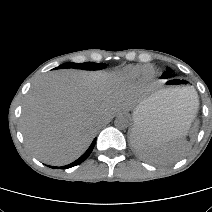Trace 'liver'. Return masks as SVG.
Segmentation results:
<instances>
[{"instance_id":"liver-1","label":"liver","mask_w":212,"mask_h":212,"mask_svg":"<svg viewBox=\"0 0 212 212\" xmlns=\"http://www.w3.org/2000/svg\"><path fill=\"white\" fill-rule=\"evenodd\" d=\"M173 100V120L186 132L189 118ZM136 104L135 90L109 73L58 70L38 79L20 119L26 147L39 160L65 165L88 148L100 123Z\"/></svg>"}]
</instances>
